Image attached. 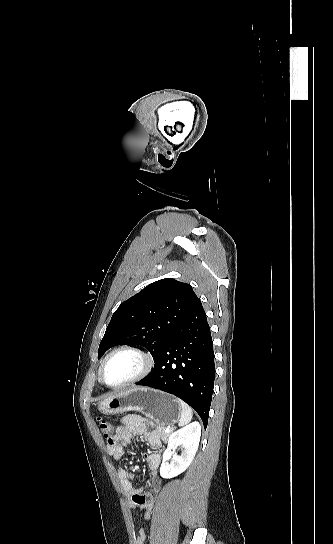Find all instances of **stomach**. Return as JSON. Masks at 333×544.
<instances>
[{
	"mask_svg": "<svg viewBox=\"0 0 333 544\" xmlns=\"http://www.w3.org/2000/svg\"><path fill=\"white\" fill-rule=\"evenodd\" d=\"M98 409L103 414L138 411L153 418L159 426L174 424L180 418V405L172 395L146 387L123 390L101 401Z\"/></svg>",
	"mask_w": 333,
	"mask_h": 544,
	"instance_id": "0dacf381",
	"label": "stomach"
}]
</instances>
